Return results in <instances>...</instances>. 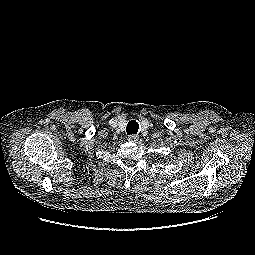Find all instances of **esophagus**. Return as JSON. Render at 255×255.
<instances>
[{
	"instance_id": "obj_1",
	"label": "esophagus",
	"mask_w": 255,
	"mask_h": 255,
	"mask_svg": "<svg viewBox=\"0 0 255 255\" xmlns=\"http://www.w3.org/2000/svg\"><path fill=\"white\" fill-rule=\"evenodd\" d=\"M139 139V135L137 134H132L128 136V141L130 142H136Z\"/></svg>"
}]
</instances>
